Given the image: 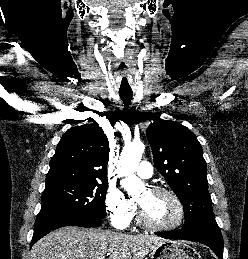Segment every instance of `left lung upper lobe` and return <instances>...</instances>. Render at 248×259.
I'll use <instances>...</instances> for the list:
<instances>
[{
  "instance_id": "5c2ea615",
  "label": "left lung upper lobe",
  "mask_w": 248,
  "mask_h": 259,
  "mask_svg": "<svg viewBox=\"0 0 248 259\" xmlns=\"http://www.w3.org/2000/svg\"><path fill=\"white\" fill-rule=\"evenodd\" d=\"M147 138L157 170L183 205V228L215 222L206 162L194 133L177 122L158 117L147 128Z\"/></svg>"
}]
</instances>
